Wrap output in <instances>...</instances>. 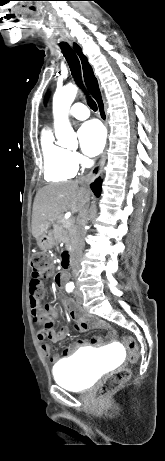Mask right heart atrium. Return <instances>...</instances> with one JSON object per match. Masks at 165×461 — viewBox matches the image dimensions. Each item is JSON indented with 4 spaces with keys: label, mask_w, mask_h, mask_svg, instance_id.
I'll list each match as a JSON object with an SVG mask.
<instances>
[{
    "label": "right heart atrium",
    "mask_w": 165,
    "mask_h": 461,
    "mask_svg": "<svg viewBox=\"0 0 165 461\" xmlns=\"http://www.w3.org/2000/svg\"><path fill=\"white\" fill-rule=\"evenodd\" d=\"M70 156H71L72 162L74 163L76 167L79 166L83 161L82 156L77 152H70Z\"/></svg>",
    "instance_id": "right-heart-atrium-1"
}]
</instances>
